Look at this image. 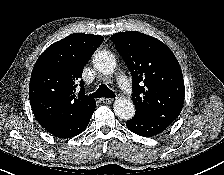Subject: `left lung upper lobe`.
<instances>
[{
    "mask_svg": "<svg viewBox=\"0 0 224 175\" xmlns=\"http://www.w3.org/2000/svg\"><path fill=\"white\" fill-rule=\"evenodd\" d=\"M133 80L135 114L175 120L183 107L185 87L181 67L161 41L137 31L111 36Z\"/></svg>",
    "mask_w": 224,
    "mask_h": 175,
    "instance_id": "1",
    "label": "left lung upper lobe"
}]
</instances>
